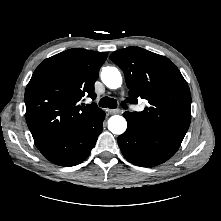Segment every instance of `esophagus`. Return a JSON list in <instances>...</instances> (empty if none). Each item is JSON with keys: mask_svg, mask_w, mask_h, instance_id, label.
Wrapping results in <instances>:
<instances>
[{"mask_svg": "<svg viewBox=\"0 0 221 221\" xmlns=\"http://www.w3.org/2000/svg\"><path fill=\"white\" fill-rule=\"evenodd\" d=\"M109 114H118L120 113V109H107Z\"/></svg>", "mask_w": 221, "mask_h": 221, "instance_id": "esophagus-1", "label": "esophagus"}]
</instances>
